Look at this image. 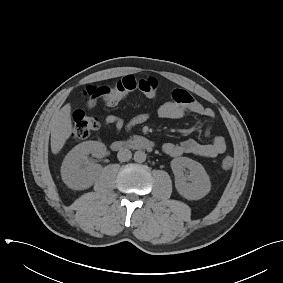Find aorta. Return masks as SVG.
<instances>
[{
  "instance_id": "aorta-1",
  "label": "aorta",
  "mask_w": 283,
  "mask_h": 283,
  "mask_svg": "<svg viewBox=\"0 0 283 283\" xmlns=\"http://www.w3.org/2000/svg\"><path fill=\"white\" fill-rule=\"evenodd\" d=\"M146 160V153L144 151L138 150L134 153V161L137 163H143Z\"/></svg>"
}]
</instances>
